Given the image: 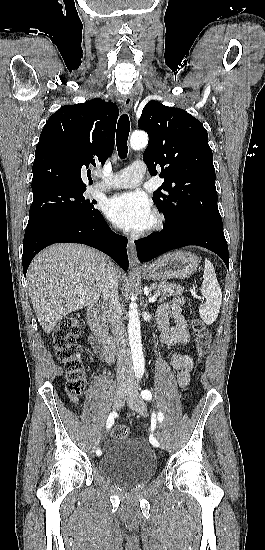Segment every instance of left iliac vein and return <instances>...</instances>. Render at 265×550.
<instances>
[{
    "label": "left iliac vein",
    "instance_id": "4c4485c4",
    "mask_svg": "<svg viewBox=\"0 0 265 550\" xmlns=\"http://www.w3.org/2000/svg\"><path fill=\"white\" fill-rule=\"evenodd\" d=\"M127 403L129 405V407L136 411L137 413L141 414V415H145L146 414V406H145V403L143 401V399L141 398V396L135 392H129L128 394V397H127ZM162 448H165V445L164 443H162Z\"/></svg>",
    "mask_w": 265,
    "mask_h": 550
}]
</instances>
